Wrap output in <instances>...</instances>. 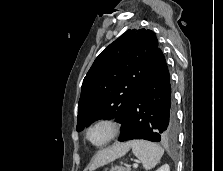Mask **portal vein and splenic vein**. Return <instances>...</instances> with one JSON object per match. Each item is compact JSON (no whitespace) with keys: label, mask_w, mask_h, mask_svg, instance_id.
I'll use <instances>...</instances> for the list:
<instances>
[{"label":"portal vein and splenic vein","mask_w":223,"mask_h":171,"mask_svg":"<svg viewBox=\"0 0 223 171\" xmlns=\"http://www.w3.org/2000/svg\"><path fill=\"white\" fill-rule=\"evenodd\" d=\"M133 167H134V168H137V167H138V164H137V163H134V164H133Z\"/></svg>","instance_id":"portal-vein-and-splenic-vein-1"}]
</instances>
